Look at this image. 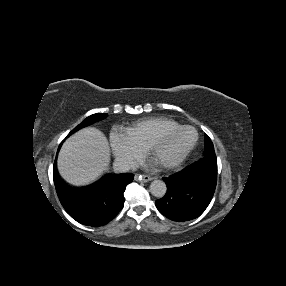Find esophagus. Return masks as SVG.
<instances>
[{"instance_id":"34e87169","label":"esophagus","mask_w":286,"mask_h":286,"mask_svg":"<svg viewBox=\"0 0 286 286\" xmlns=\"http://www.w3.org/2000/svg\"><path fill=\"white\" fill-rule=\"evenodd\" d=\"M135 179L142 181V182H148L152 180V177L146 174H142V175L137 174L135 175Z\"/></svg>"}]
</instances>
